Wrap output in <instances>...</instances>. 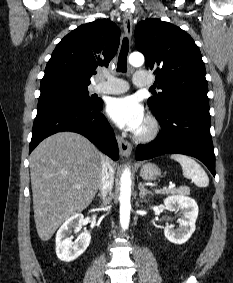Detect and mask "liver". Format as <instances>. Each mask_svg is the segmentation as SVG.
<instances>
[{
  "label": "liver",
  "instance_id": "6515ba94",
  "mask_svg": "<svg viewBox=\"0 0 233 283\" xmlns=\"http://www.w3.org/2000/svg\"><path fill=\"white\" fill-rule=\"evenodd\" d=\"M103 160L87 138L74 132H58L34 149L30 155L33 210L42 241L89 206L100 186ZM112 168L115 171V163Z\"/></svg>",
  "mask_w": 233,
  "mask_h": 283
}]
</instances>
